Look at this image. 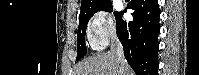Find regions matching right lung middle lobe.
I'll use <instances>...</instances> for the list:
<instances>
[{
  "label": "right lung middle lobe",
  "instance_id": "dd1d6c3e",
  "mask_svg": "<svg viewBox=\"0 0 199 75\" xmlns=\"http://www.w3.org/2000/svg\"><path fill=\"white\" fill-rule=\"evenodd\" d=\"M112 4L108 2L106 4L101 5L100 7L96 8L95 10L90 11L87 14L79 16V26H78V33H77V60L81 59L86 54V47H85V33L87 23L90 18L96 13L97 11H107L112 12ZM119 15V12H114L115 18Z\"/></svg>",
  "mask_w": 199,
  "mask_h": 75
}]
</instances>
